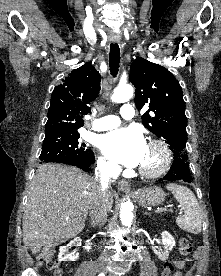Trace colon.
Masks as SVG:
<instances>
[{
	"mask_svg": "<svg viewBox=\"0 0 221 276\" xmlns=\"http://www.w3.org/2000/svg\"><path fill=\"white\" fill-rule=\"evenodd\" d=\"M178 249L181 258L176 260L174 263L166 262L163 267L161 276H172L177 268L181 267L182 269L184 267L185 258L192 251V244L188 239L181 238L179 241ZM38 259L40 262L45 263L49 270L53 271L54 276H62L61 263L59 260L53 257L52 248H44L39 254Z\"/></svg>",
	"mask_w": 221,
	"mask_h": 276,
	"instance_id": "1",
	"label": "colon"
}]
</instances>
